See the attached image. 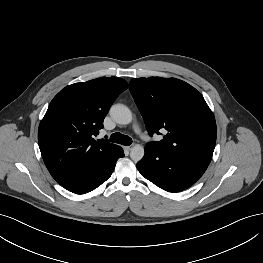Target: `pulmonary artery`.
<instances>
[{"mask_svg": "<svg viewBox=\"0 0 263 263\" xmlns=\"http://www.w3.org/2000/svg\"><path fill=\"white\" fill-rule=\"evenodd\" d=\"M135 130L138 134L143 135L141 128L139 126H135Z\"/></svg>", "mask_w": 263, "mask_h": 263, "instance_id": "e3ab8cb5", "label": "pulmonary artery"}]
</instances>
